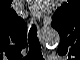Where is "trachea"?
Returning <instances> with one entry per match:
<instances>
[{"instance_id":"trachea-1","label":"trachea","mask_w":80,"mask_h":60,"mask_svg":"<svg viewBox=\"0 0 80 60\" xmlns=\"http://www.w3.org/2000/svg\"><path fill=\"white\" fill-rule=\"evenodd\" d=\"M29 54L36 57L41 55V45L37 37V29L32 25V28L29 31Z\"/></svg>"}]
</instances>
